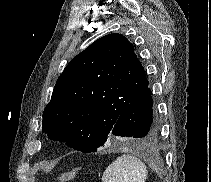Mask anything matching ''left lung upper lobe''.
<instances>
[{
	"instance_id": "5c2ea615",
	"label": "left lung upper lobe",
	"mask_w": 211,
	"mask_h": 182,
	"mask_svg": "<svg viewBox=\"0 0 211 182\" xmlns=\"http://www.w3.org/2000/svg\"><path fill=\"white\" fill-rule=\"evenodd\" d=\"M147 81L132 43L120 34L105 35L59 76L43 111L42 131L75 150L96 152Z\"/></svg>"
}]
</instances>
